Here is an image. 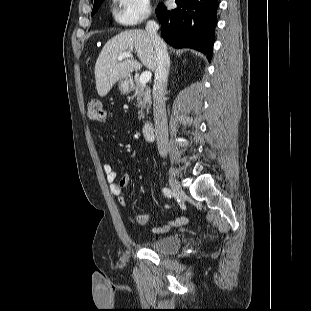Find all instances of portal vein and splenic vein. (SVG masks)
Instances as JSON below:
<instances>
[{"mask_svg":"<svg viewBox=\"0 0 311 311\" xmlns=\"http://www.w3.org/2000/svg\"><path fill=\"white\" fill-rule=\"evenodd\" d=\"M132 57H133V55L131 54V52H124V53H121V54L117 57V59H118L119 61H121V60H123L124 58H132ZM151 76H152V74H151L150 71H145V72H143V73L141 74V76H140V78H139V82H140L141 84H143V85H146V84L150 81Z\"/></svg>","mask_w":311,"mask_h":311,"instance_id":"portal-vein-and-splenic-vein-1","label":"portal vein and splenic vein"}]
</instances>
